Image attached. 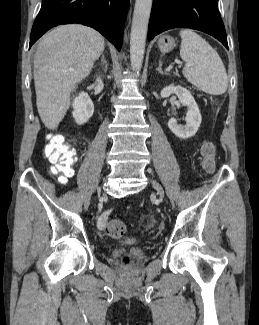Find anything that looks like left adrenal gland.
I'll use <instances>...</instances> for the list:
<instances>
[{"label":"left adrenal gland","mask_w":259,"mask_h":325,"mask_svg":"<svg viewBox=\"0 0 259 325\" xmlns=\"http://www.w3.org/2000/svg\"><path fill=\"white\" fill-rule=\"evenodd\" d=\"M156 71H158L160 74H162V75H167V73H164L163 71H162V61H159V66H158V68L156 69Z\"/></svg>","instance_id":"1"}]
</instances>
